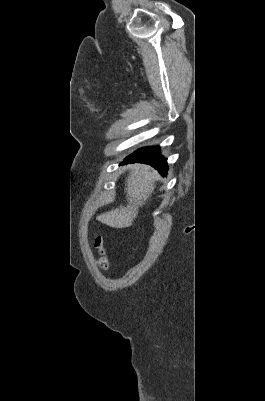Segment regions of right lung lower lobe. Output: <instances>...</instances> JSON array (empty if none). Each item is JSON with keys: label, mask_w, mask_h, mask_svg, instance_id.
Wrapping results in <instances>:
<instances>
[{"label": "right lung lower lobe", "mask_w": 265, "mask_h": 401, "mask_svg": "<svg viewBox=\"0 0 265 401\" xmlns=\"http://www.w3.org/2000/svg\"><path fill=\"white\" fill-rule=\"evenodd\" d=\"M135 162L149 164L156 168L159 173L164 176L168 170L167 160L161 155L159 146H148L141 148L126 157L122 164Z\"/></svg>", "instance_id": "right-lung-lower-lobe-1"}]
</instances>
